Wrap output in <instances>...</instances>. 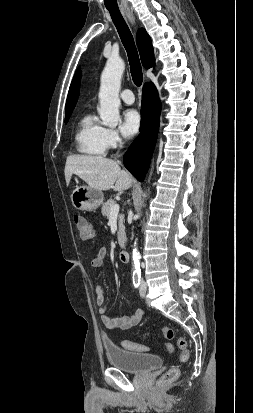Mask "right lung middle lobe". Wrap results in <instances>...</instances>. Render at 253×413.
<instances>
[{
  "label": "right lung middle lobe",
  "mask_w": 253,
  "mask_h": 413,
  "mask_svg": "<svg viewBox=\"0 0 253 413\" xmlns=\"http://www.w3.org/2000/svg\"><path fill=\"white\" fill-rule=\"evenodd\" d=\"M70 115L65 116V123H67L68 119H69Z\"/></svg>",
  "instance_id": "dd1d6c3e"
}]
</instances>
